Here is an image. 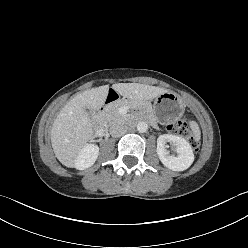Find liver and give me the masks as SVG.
<instances>
[{
  "mask_svg": "<svg viewBox=\"0 0 248 248\" xmlns=\"http://www.w3.org/2000/svg\"><path fill=\"white\" fill-rule=\"evenodd\" d=\"M116 93L134 102L156 98L167 90L139 83H118ZM109 85L86 90L73 97L60 111L51 129L52 148L57 159L66 167L75 162L87 143L94 137V124L86 109L99 110L108 95Z\"/></svg>",
  "mask_w": 248,
  "mask_h": 248,
  "instance_id": "1",
  "label": "liver"
}]
</instances>
